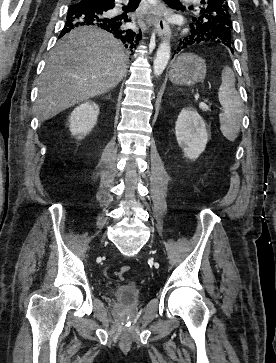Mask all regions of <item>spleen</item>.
I'll use <instances>...</instances> for the list:
<instances>
[{"mask_svg":"<svg viewBox=\"0 0 276 363\" xmlns=\"http://www.w3.org/2000/svg\"><path fill=\"white\" fill-rule=\"evenodd\" d=\"M218 99L222 106L219 114L220 131L229 141H234L240 131L243 117V103L235 88V75L229 66H224L221 74Z\"/></svg>","mask_w":276,"mask_h":363,"instance_id":"obj_1","label":"spleen"}]
</instances>
